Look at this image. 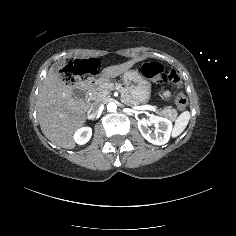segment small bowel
<instances>
[{
  "mask_svg": "<svg viewBox=\"0 0 236 236\" xmlns=\"http://www.w3.org/2000/svg\"><path fill=\"white\" fill-rule=\"evenodd\" d=\"M164 96H166V97L169 96V92H167V91L164 92Z\"/></svg>",
  "mask_w": 236,
  "mask_h": 236,
  "instance_id": "obj_1",
  "label": "small bowel"
}]
</instances>
